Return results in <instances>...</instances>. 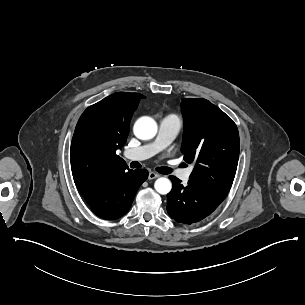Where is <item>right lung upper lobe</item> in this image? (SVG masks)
I'll return each instance as SVG.
<instances>
[{
    "instance_id": "1",
    "label": "right lung upper lobe",
    "mask_w": 305,
    "mask_h": 305,
    "mask_svg": "<svg viewBox=\"0 0 305 305\" xmlns=\"http://www.w3.org/2000/svg\"><path fill=\"white\" fill-rule=\"evenodd\" d=\"M142 98L139 93L117 92L81 115L72 138L70 161L82 196L128 169L116 150L125 144L132 114Z\"/></svg>"
}]
</instances>
